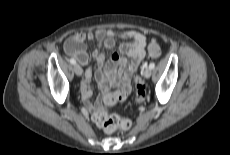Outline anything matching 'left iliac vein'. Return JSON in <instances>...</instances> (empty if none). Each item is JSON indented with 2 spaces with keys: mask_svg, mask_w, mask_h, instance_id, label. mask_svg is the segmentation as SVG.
Instances as JSON below:
<instances>
[{
  "mask_svg": "<svg viewBox=\"0 0 230 155\" xmlns=\"http://www.w3.org/2000/svg\"><path fill=\"white\" fill-rule=\"evenodd\" d=\"M151 73H152V71H151L150 68H146L143 71V75H144L145 78H149L151 76Z\"/></svg>",
  "mask_w": 230,
  "mask_h": 155,
  "instance_id": "1",
  "label": "left iliac vein"
}]
</instances>
